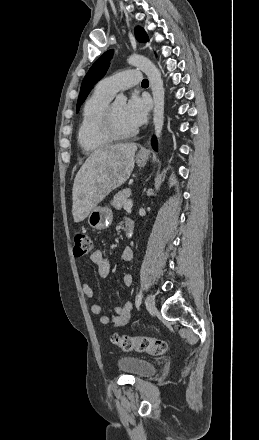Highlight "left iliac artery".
<instances>
[{
	"label": "left iliac artery",
	"instance_id": "obj_1",
	"mask_svg": "<svg viewBox=\"0 0 259 440\" xmlns=\"http://www.w3.org/2000/svg\"><path fill=\"white\" fill-rule=\"evenodd\" d=\"M142 297H143V295H142V292L140 291L138 296H137V299H136V307L137 308H139V306H140V304L142 302Z\"/></svg>",
	"mask_w": 259,
	"mask_h": 440
}]
</instances>
